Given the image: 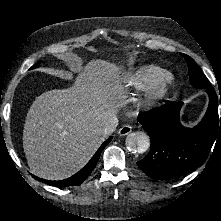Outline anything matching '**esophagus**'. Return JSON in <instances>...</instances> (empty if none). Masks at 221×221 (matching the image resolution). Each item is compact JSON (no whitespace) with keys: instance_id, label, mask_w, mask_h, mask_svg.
<instances>
[{"instance_id":"esophagus-1","label":"esophagus","mask_w":221,"mask_h":221,"mask_svg":"<svg viewBox=\"0 0 221 221\" xmlns=\"http://www.w3.org/2000/svg\"><path fill=\"white\" fill-rule=\"evenodd\" d=\"M131 131H132V127L130 125H123L119 129L118 134L120 136H125V135H128Z\"/></svg>"}]
</instances>
